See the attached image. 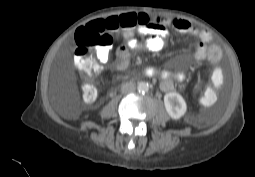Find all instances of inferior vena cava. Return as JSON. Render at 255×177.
<instances>
[{
    "label": "inferior vena cava",
    "mask_w": 255,
    "mask_h": 177,
    "mask_svg": "<svg viewBox=\"0 0 255 177\" xmlns=\"http://www.w3.org/2000/svg\"><path fill=\"white\" fill-rule=\"evenodd\" d=\"M135 90H136V86H135V84H133L131 82L123 83L121 86V92L123 94L132 93Z\"/></svg>",
    "instance_id": "obj_1"
}]
</instances>
